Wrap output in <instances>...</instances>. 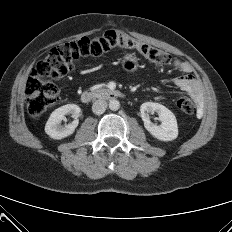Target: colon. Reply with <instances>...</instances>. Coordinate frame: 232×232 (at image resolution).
<instances>
[{
	"mask_svg": "<svg viewBox=\"0 0 232 232\" xmlns=\"http://www.w3.org/2000/svg\"><path fill=\"white\" fill-rule=\"evenodd\" d=\"M113 49L136 50L159 66L169 64L172 59L170 53L116 30L106 31L93 39L82 38L60 44L37 63L26 82L25 101L29 114L38 117L57 102V79L74 71L82 60L101 56ZM177 106L185 114L195 112L194 103L188 96L180 97Z\"/></svg>",
	"mask_w": 232,
	"mask_h": 232,
	"instance_id": "5ec220e1",
	"label": "colon"
}]
</instances>
